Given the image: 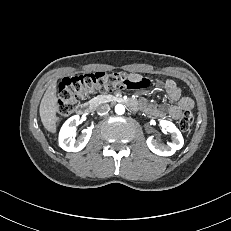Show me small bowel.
Listing matches in <instances>:
<instances>
[{
    "label": "small bowel",
    "instance_id": "1",
    "mask_svg": "<svg viewBox=\"0 0 231 231\" xmlns=\"http://www.w3.org/2000/svg\"><path fill=\"white\" fill-rule=\"evenodd\" d=\"M131 77L135 81L141 80L143 77L139 74H131ZM158 87L163 89L169 101L170 106L164 105H152L143 101L138 105V108L143 110L146 114L158 118L165 117L166 115L172 119H178L182 112L192 110L194 103L189 97L182 96L180 87L173 80L167 79L165 81L159 82Z\"/></svg>",
    "mask_w": 231,
    "mask_h": 231
}]
</instances>
